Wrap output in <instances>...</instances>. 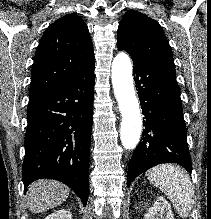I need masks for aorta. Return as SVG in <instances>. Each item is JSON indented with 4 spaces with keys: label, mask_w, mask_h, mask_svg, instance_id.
Returning <instances> with one entry per match:
<instances>
[{
    "label": "aorta",
    "mask_w": 211,
    "mask_h": 219,
    "mask_svg": "<svg viewBox=\"0 0 211 219\" xmlns=\"http://www.w3.org/2000/svg\"><path fill=\"white\" fill-rule=\"evenodd\" d=\"M112 84L122 116L121 142L124 148L133 149L140 140L142 118L133 85L131 60L124 52H120L113 60Z\"/></svg>",
    "instance_id": "aorta-1"
}]
</instances>
